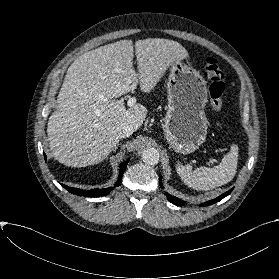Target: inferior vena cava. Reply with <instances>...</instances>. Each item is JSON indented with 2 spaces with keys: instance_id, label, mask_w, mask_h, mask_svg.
<instances>
[{
  "instance_id": "602c4592",
  "label": "inferior vena cava",
  "mask_w": 279,
  "mask_h": 279,
  "mask_svg": "<svg viewBox=\"0 0 279 279\" xmlns=\"http://www.w3.org/2000/svg\"><path fill=\"white\" fill-rule=\"evenodd\" d=\"M134 132V128L132 126H125L121 133H120V138H126L132 135Z\"/></svg>"
}]
</instances>
